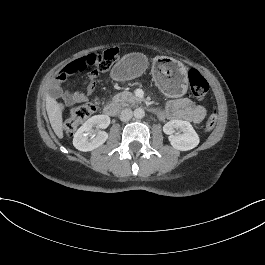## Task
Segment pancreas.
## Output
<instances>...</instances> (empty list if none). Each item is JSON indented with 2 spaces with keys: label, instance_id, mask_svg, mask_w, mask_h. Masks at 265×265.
<instances>
[{
  "label": "pancreas",
  "instance_id": "1",
  "mask_svg": "<svg viewBox=\"0 0 265 265\" xmlns=\"http://www.w3.org/2000/svg\"><path fill=\"white\" fill-rule=\"evenodd\" d=\"M113 101L119 102L121 106L125 107V106H128V103H132V104L139 103L141 102V99L133 95L131 92L124 91V92L116 94L113 97Z\"/></svg>",
  "mask_w": 265,
  "mask_h": 265
}]
</instances>
